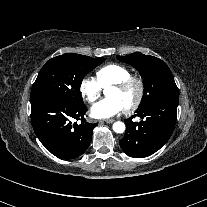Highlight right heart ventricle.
Segmentation results:
<instances>
[{"mask_svg":"<svg viewBox=\"0 0 207 207\" xmlns=\"http://www.w3.org/2000/svg\"><path fill=\"white\" fill-rule=\"evenodd\" d=\"M129 76V69L117 63L107 64L96 71V80L101 87L118 83Z\"/></svg>","mask_w":207,"mask_h":207,"instance_id":"obj_1","label":"right heart ventricle"}]
</instances>
